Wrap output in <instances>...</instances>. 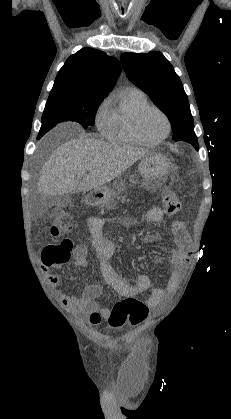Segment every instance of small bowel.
Instances as JSON below:
<instances>
[{"instance_id": "obj_1", "label": "small bowel", "mask_w": 231, "mask_h": 419, "mask_svg": "<svg viewBox=\"0 0 231 419\" xmlns=\"http://www.w3.org/2000/svg\"><path fill=\"white\" fill-rule=\"evenodd\" d=\"M163 212L160 208H151L145 216V220L151 224H158L162 221ZM90 243L96 252L100 263V271L105 284L110 286L122 298H131L147 290H151L150 295L143 301L147 308L156 310L163 300L169 296L176 286L179 271L187 263L189 254L192 250L191 240L185 224L181 221L176 222L172 228L175 238L176 248L172 252L171 262L173 268L170 270L172 278L165 288L153 287L150 278L145 274L134 276H125L115 269L111 263V257L116 249L112 239L102 234L104 220L98 217H89L86 220ZM156 239L153 235H146L145 242H152ZM88 246L78 244L73 251V263L76 267H86ZM49 268L46 269L48 271ZM47 280L53 286L61 284L62 279L59 275L47 273ZM102 293V285L91 283L83 287L80 296L63 294L61 296L62 305L71 312H81L89 316L90 323L95 325L101 321V318L108 319L110 309L100 307L97 298Z\"/></svg>"}]
</instances>
